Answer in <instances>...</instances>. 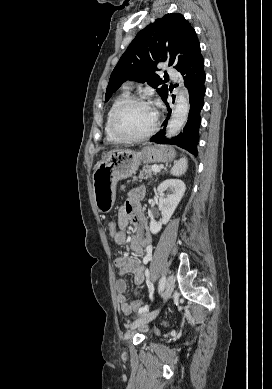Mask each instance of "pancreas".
<instances>
[{"label":"pancreas","instance_id":"1","mask_svg":"<svg viewBox=\"0 0 272 389\" xmlns=\"http://www.w3.org/2000/svg\"><path fill=\"white\" fill-rule=\"evenodd\" d=\"M151 168H152L151 166L145 165V166L143 167V170L140 171L139 175H138V176H135V177L133 178V181L135 182V181H137L138 179L142 180V179H146V178H148V177H149V178L152 177L153 173H152Z\"/></svg>","mask_w":272,"mask_h":389}]
</instances>
